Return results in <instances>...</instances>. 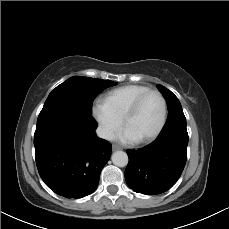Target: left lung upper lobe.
I'll list each match as a JSON object with an SVG mask.
<instances>
[{"mask_svg":"<svg viewBox=\"0 0 229 229\" xmlns=\"http://www.w3.org/2000/svg\"><path fill=\"white\" fill-rule=\"evenodd\" d=\"M158 89L166 99L169 111L168 119L163 132L171 130L180 125L186 126V118L178 98L170 90L160 84L158 85Z\"/></svg>","mask_w":229,"mask_h":229,"instance_id":"5c2ea615","label":"left lung upper lobe"}]
</instances>
